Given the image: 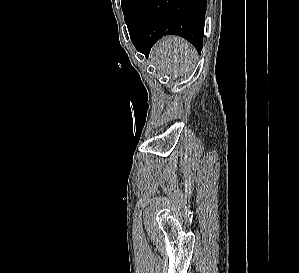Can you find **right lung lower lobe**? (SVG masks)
<instances>
[{"label":"right lung lower lobe","mask_w":299,"mask_h":273,"mask_svg":"<svg viewBox=\"0 0 299 273\" xmlns=\"http://www.w3.org/2000/svg\"><path fill=\"white\" fill-rule=\"evenodd\" d=\"M206 0H134L126 24L136 49L146 57L164 35L187 39L200 53Z\"/></svg>","instance_id":"obj_1"}]
</instances>
